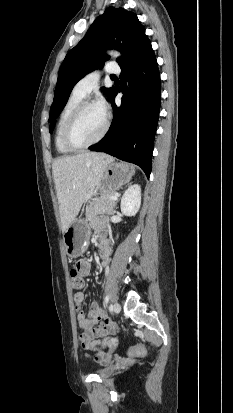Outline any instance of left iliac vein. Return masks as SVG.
I'll return each mask as SVG.
<instances>
[{
    "label": "left iliac vein",
    "instance_id": "4c4485c4",
    "mask_svg": "<svg viewBox=\"0 0 233 413\" xmlns=\"http://www.w3.org/2000/svg\"><path fill=\"white\" fill-rule=\"evenodd\" d=\"M112 307H113V311H114L115 313H119L120 310H121V306H120V304H119L118 302H115Z\"/></svg>",
    "mask_w": 233,
    "mask_h": 413
}]
</instances>
